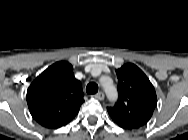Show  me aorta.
<instances>
[{
	"instance_id": "aorta-1",
	"label": "aorta",
	"mask_w": 188,
	"mask_h": 140,
	"mask_svg": "<svg viewBox=\"0 0 188 140\" xmlns=\"http://www.w3.org/2000/svg\"><path fill=\"white\" fill-rule=\"evenodd\" d=\"M101 84L104 88L107 98L114 102L117 99L118 94L112 80L109 77H103L101 79Z\"/></svg>"
}]
</instances>
